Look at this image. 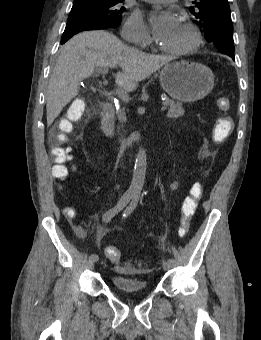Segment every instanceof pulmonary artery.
<instances>
[{
  "instance_id": "e3ab8cb5",
  "label": "pulmonary artery",
  "mask_w": 261,
  "mask_h": 340,
  "mask_svg": "<svg viewBox=\"0 0 261 340\" xmlns=\"http://www.w3.org/2000/svg\"><path fill=\"white\" fill-rule=\"evenodd\" d=\"M146 2H151V3H167L173 0H144Z\"/></svg>"
}]
</instances>
